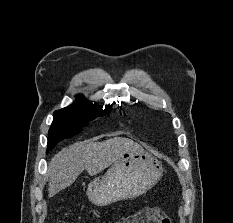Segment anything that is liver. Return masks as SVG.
Returning <instances> with one entry per match:
<instances>
[{
	"label": "liver",
	"mask_w": 233,
	"mask_h": 223,
	"mask_svg": "<svg viewBox=\"0 0 233 223\" xmlns=\"http://www.w3.org/2000/svg\"><path fill=\"white\" fill-rule=\"evenodd\" d=\"M133 147L139 145L128 137H111L105 141L86 139L72 143L67 149L63 147L53 155L49 163L48 197L72 185L83 169H86L89 175H97Z\"/></svg>",
	"instance_id": "1"
}]
</instances>
